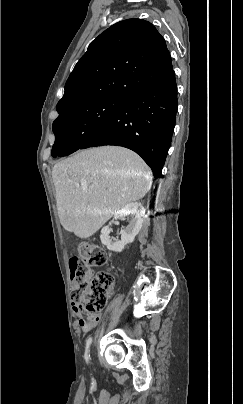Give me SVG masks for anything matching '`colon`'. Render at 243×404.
I'll return each mask as SVG.
<instances>
[{"instance_id": "1", "label": "colon", "mask_w": 243, "mask_h": 404, "mask_svg": "<svg viewBox=\"0 0 243 404\" xmlns=\"http://www.w3.org/2000/svg\"><path fill=\"white\" fill-rule=\"evenodd\" d=\"M108 257L109 254L98 245L81 242L78 245V256L70 260L71 275L75 282L71 297L75 302L85 303L89 317L97 315L106 304L112 276L109 271L93 275L92 269L106 265Z\"/></svg>"}]
</instances>
